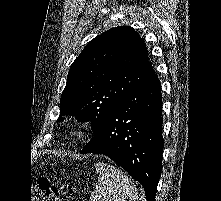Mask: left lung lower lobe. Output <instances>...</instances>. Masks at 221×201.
<instances>
[{
  "label": "left lung lower lobe",
  "mask_w": 221,
  "mask_h": 201,
  "mask_svg": "<svg viewBox=\"0 0 221 201\" xmlns=\"http://www.w3.org/2000/svg\"><path fill=\"white\" fill-rule=\"evenodd\" d=\"M162 95L154 73L112 109L82 154H103L140 182L155 201L162 169Z\"/></svg>",
  "instance_id": "left-lung-lower-lobe-1"
}]
</instances>
